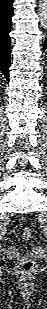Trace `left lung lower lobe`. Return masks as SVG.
Segmentation results:
<instances>
[{"mask_svg": "<svg viewBox=\"0 0 47 309\" xmlns=\"http://www.w3.org/2000/svg\"><path fill=\"white\" fill-rule=\"evenodd\" d=\"M45 49H47V38H46V41H45V43H44L43 51H44Z\"/></svg>", "mask_w": 47, "mask_h": 309, "instance_id": "left-lung-lower-lobe-1", "label": "left lung lower lobe"}]
</instances>
